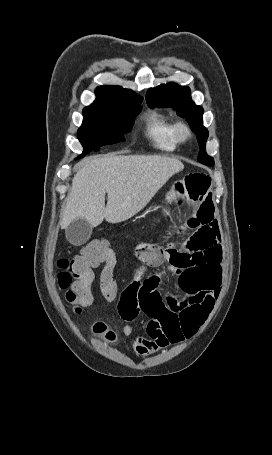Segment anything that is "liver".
<instances>
[{
	"instance_id": "6515ba94",
	"label": "liver",
	"mask_w": 272,
	"mask_h": 455,
	"mask_svg": "<svg viewBox=\"0 0 272 455\" xmlns=\"http://www.w3.org/2000/svg\"><path fill=\"white\" fill-rule=\"evenodd\" d=\"M183 168L180 160L158 155L95 157L74 175L61 228H67L78 218L85 219L92 227L104 219L109 223L128 220Z\"/></svg>"
}]
</instances>
